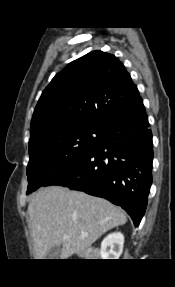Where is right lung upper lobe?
<instances>
[{"label": "right lung upper lobe", "instance_id": "cb5924a9", "mask_svg": "<svg viewBox=\"0 0 175 287\" xmlns=\"http://www.w3.org/2000/svg\"><path fill=\"white\" fill-rule=\"evenodd\" d=\"M142 104L124 65L112 54L93 51L68 64L42 92L29 144L78 125L105 126Z\"/></svg>", "mask_w": 175, "mask_h": 287}]
</instances>
